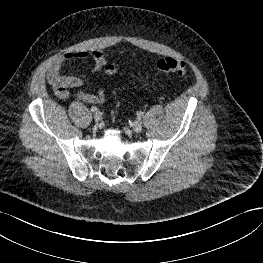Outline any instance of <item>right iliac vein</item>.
Masks as SVG:
<instances>
[{"instance_id":"right-iliac-vein-1","label":"right iliac vein","mask_w":263,"mask_h":263,"mask_svg":"<svg viewBox=\"0 0 263 263\" xmlns=\"http://www.w3.org/2000/svg\"><path fill=\"white\" fill-rule=\"evenodd\" d=\"M101 118H102V115H101L100 112H96V113L94 114V120H95V122H97V123L100 122Z\"/></svg>"}]
</instances>
